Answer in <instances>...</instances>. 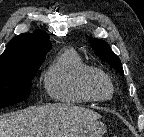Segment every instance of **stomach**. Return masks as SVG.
Wrapping results in <instances>:
<instances>
[{"label":"stomach","instance_id":"0dacf381","mask_svg":"<svg viewBox=\"0 0 144 137\" xmlns=\"http://www.w3.org/2000/svg\"><path fill=\"white\" fill-rule=\"evenodd\" d=\"M105 133L106 126L103 123L96 121L80 127L69 137H103Z\"/></svg>","mask_w":144,"mask_h":137}]
</instances>
